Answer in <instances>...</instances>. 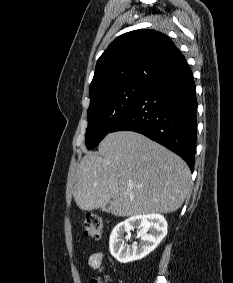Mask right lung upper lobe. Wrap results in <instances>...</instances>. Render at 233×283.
<instances>
[{"label":"right lung upper lobe","mask_w":233,"mask_h":283,"mask_svg":"<svg viewBox=\"0 0 233 283\" xmlns=\"http://www.w3.org/2000/svg\"><path fill=\"white\" fill-rule=\"evenodd\" d=\"M185 57L165 34L142 29L117 37L99 57L90 84V102L129 83H150Z\"/></svg>","instance_id":"obj_1"}]
</instances>
